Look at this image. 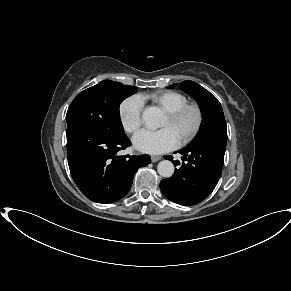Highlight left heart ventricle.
Masks as SVG:
<instances>
[{"label": "left heart ventricle", "mask_w": 291, "mask_h": 291, "mask_svg": "<svg viewBox=\"0 0 291 291\" xmlns=\"http://www.w3.org/2000/svg\"><path fill=\"white\" fill-rule=\"evenodd\" d=\"M195 125V114L188 112L182 118L175 122H171L167 116L164 117L161 127H168L172 130L176 138L180 141L188 135Z\"/></svg>", "instance_id": "obj_1"}]
</instances>
